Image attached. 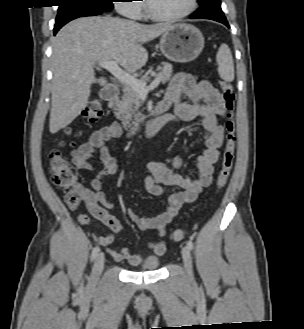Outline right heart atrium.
Here are the masks:
<instances>
[{"label": "right heart atrium", "instance_id": "right-heart-atrium-1", "mask_svg": "<svg viewBox=\"0 0 304 329\" xmlns=\"http://www.w3.org/2000/svg\"><path fill=\"white\" fill-rule=\"evenodd\" d=\"M116 9L122 15L133 19H140L143 16L144 4L143 0H118ZM140 2V3H134Z\"/></svg>", "mask_w": 304, "mask_h": 329}]
</instances>
